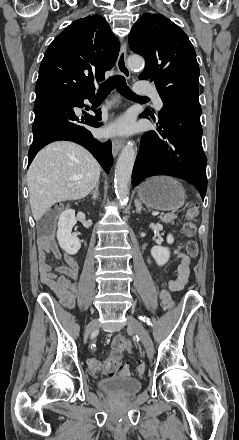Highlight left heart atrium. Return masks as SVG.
I'll return each mask as SVG.
<instances>
[{
    "instance_id": "left-heart-atrium-1",
    "label": "left heart atrium",
    "mask_w": 239,
    "mask_h": 440,
    "mask_svg": "<svg viewBox=\"0 0 239 440\" xmlns=\"http://www.w3.org/2000/svg\"><path fill=\"white\" fill-rule=\"evenodd\" d=\"M134 128V122L131 117L124 116L120 118L117 122L110 125L106 131L108 133H129Z\"/></svg>"
}]
</instances>
